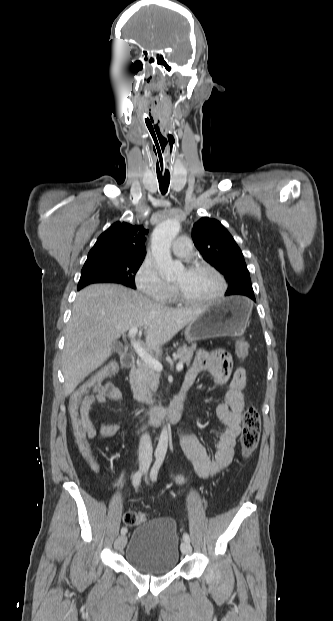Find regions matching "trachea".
<instances>
[{
  "mask_svg": "<svg viewBox=\"0 0 333 621\" xmlns=\"http://www.w3.org/2000/svg\"><path fill=\"white\" fill-rule=\"evenodd\" d=\"M157 178L159 182V189L163 195H165L168 191L170 184V173L161 174L157 173Z\"/></svg>",
  "mask_w": 333,
  "mask_h": 621,
  "instance_id": "1",
  "label": "trachea"
}]
</instances>
